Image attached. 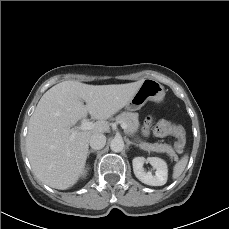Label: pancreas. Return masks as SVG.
<instances>
[{
	"label": "pancreas",
	"mask_w": 229,
	"mask_h": 229,
	"mask_svg": "<svg viewBox=\"0 0 229 229\" xmlns=\"http://www.w3.org/2000/svg\"><path fill=\"white\" fill-rule=\"evenodd\" d=\"M115 120L117 123H126L127 129L125 130V132L131 136H133L138 131L139 121H138L137 113L123 112L117 115ZM136 145L145 151L167 153L171 159H177V154L175 153L174 149L168 144L165 143L152 144V143L140 142Z\"/></svg>",
	"instance_id": "1"
}]
</instances>
